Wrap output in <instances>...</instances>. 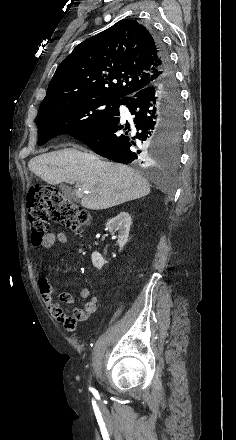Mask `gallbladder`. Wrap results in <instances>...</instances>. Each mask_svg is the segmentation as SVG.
<instances>
[{
  "instance_id": "gallbladder-1",
  "label": "gallbladder",
  "mask_w": 236,
  "mask_h": 440,
  "mask_svg": "<svg viewBox=\"0 0 236 440\" xmlns=\"http://www.w3.org/2000/svg\"><path fill=\"white\" fill-rule=\"evenodd\" d=\"M59 188L67 198L73 201H78V198L70 187L66 186L65 184H60Z\"/></svg>"
}]
</instances>
